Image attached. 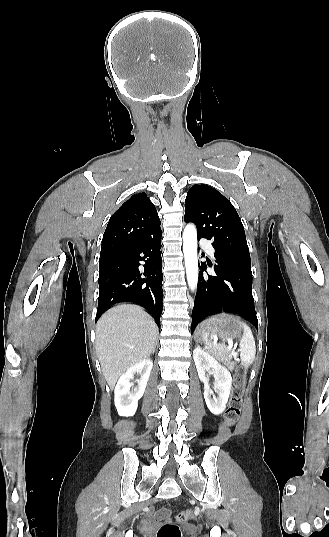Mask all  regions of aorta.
I'll use <instances>...</instances> for the list:
<instances>
[{"label":"aorta","mask_w":329,"mask_h":537,"mask_svg":"<svg viewBox=\"0 0 329 537\" xmlns=\"http://www.w3.org/2000/svg\"><path fill=\"white\" fill-rule=\"evenodd\" d=\"M183 253L185 259L187 283L191 291L196 292L199 272L197 257V230L193 224H188L183 231Z\"/></svg>","instance_id":"1"}]
</instances>
